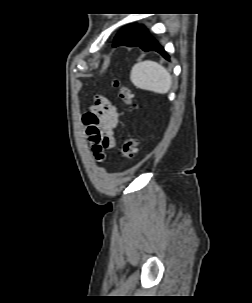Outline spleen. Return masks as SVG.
Instances as JSON below:
<instances>
[{
  "label": "spleen",
  "mask_w": 252,
  "mask_h": 303,
  "mask_svg": "<svg viewBox=\"0 0 252 303\" xmlns=\"http://www.w3.org/2000/svg\"><path fill=\"white\" fill-rule=\"evenodd\" d=\"M130 80L135 87L159 94L167 93L172 85V78L165 67L151 60L135 64Z\"/></svg>",
  "instance_id": "obj_1"
}]
</instances>
